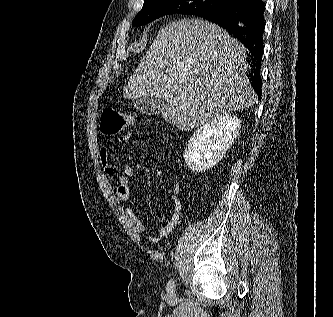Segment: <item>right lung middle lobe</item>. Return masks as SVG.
I'll return each instance as SVG.
<instances>
[{"mask_svg":"<svg viewBox=\"0 0 333 317\" xmlns=\"http://www.w3.org/2000/svg\"><path fill=\"white\" fill-rule=\"evenodd\" d=\"M226 2L225 0H144L143 8L132 24L140 26L169 14L196 15L218 8Z\"/></svg>","mask_w":333,"mask_h":317,"instance_id":"1","label":"right lung middle lobe"}]
</instances>
